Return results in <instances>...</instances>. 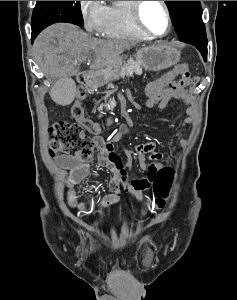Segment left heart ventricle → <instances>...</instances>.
I'll list each match as a JSON object with an SVG mask.
<instances>
[{
    "mask_svg": "<svg viewBox=\"0 0 237 300\" xmlns=\"http://www.w3.org/2000/svg\"><path fill=\"white\" fill-rule=\"evenodd\" d=\"M142 19L147 28L153 33L160 35L166 31V16L159 1L145 2L142 9Z\"/></svg>",
    "mask_w": 237,
    "mask_h": 300,
    "instance_id": "b2bd125f",
    "label": "left heart ventricle"
}]
</instances>
